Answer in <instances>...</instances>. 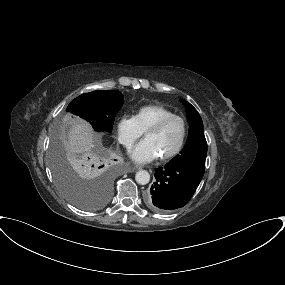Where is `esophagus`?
I'll use <instances>...</instances> for the list:
<instances>
[{"label": "esophagus", "instance_id": "esophagus-1", "mask_svg": "<svg viewBox=\"0 0 285 285\" xmlns=\"http://www.w3.org/2000/svg\"><path fill=\"white\" fill-rule=\"evenodd\" d=\"M140 169H142V166L141 165H136L133 168H129L128 172H134L135 170H140Z\"/></svg>", "mask_w": 285, "mask_h": 285}]
</instances>
